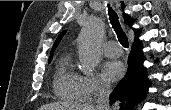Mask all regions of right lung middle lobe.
Instances as JSON below:
<instances>
[{
    "mask_svg": "<svg viewBox=\"0 0 171 110\" xmlns=\"http://www.w3.org/2000/svg\"><path fill=\"white\" fill-rule=\"evenodd\" d=\"M51 60H52V56H50V58H49V61H48V62L50 63V62H51Z\"/></svg>",
    "mask_w": 171,
    "mask_h": 110,
    "instance_id": "right-lung-middle-lobe-1",
    "label": "right lung middle lobe"
}]
</instances>
